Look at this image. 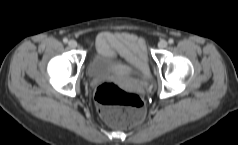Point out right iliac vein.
Returning <instances> with one entry per match:
<instances>
[{
    "instance_id": "1",
    "label": "right iliac vein",
    "mask_w": 238,
    "mask_h": 145,
    "mask_svg": "<svg viewBox=\"0 0 238 145\" xmlns=\"http://www.w3.org/2000/svg\"><path fill=\"white\" fill-rule=\"evenodd\" d=\"M68 45L70 48H76L77 47V42L75 40H70L68 42Z\"/></svg>"
}]
</instances>
